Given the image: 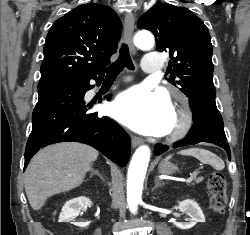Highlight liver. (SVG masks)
I'll return each mask as SVG.
<instances>
[{"instance_id": "liver-1", "label": "liver", "mask_w": 250, "mask_h": 235, "mask_svg": "<svg viewBox=\"0 0 250 235\" xmlns=\"http://www.w3.org/2000/svg\"><path fill=\"white\" fill-rule=\"evenodd\" d=\"M97 157V150L76 142L55 144L38 152L25 172V192L31 207L39 210L49 197L81 185Z\"/></svg>"}]
</instances>
